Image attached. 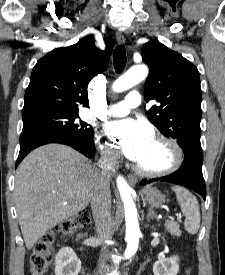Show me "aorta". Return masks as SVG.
Returning <instances> with one entry per match:
<instances>
[{
  "label": "aorta",
  "mask_w": 225,
  "mask_h": 275,
  "mask_svg": "<svg viewBox=\"0 0 225 275\" xmlns=\"http://www.w3.org/2000/svg\"><path fill=\"white\" fill-rule=\"evenodd\" d=\"M147 75L148 68L145 65L134 66L113 83L112 90L115 92L126 91L143 81ZM116 183L125 211V239L127 242L125 257L130 258L137 252L139 244L140 228L138 212L132 198V188L128 185L123 176L119 175L116 179Z\"/></svg>",
  "instance_id": "obj_1"
}]
</instances>
